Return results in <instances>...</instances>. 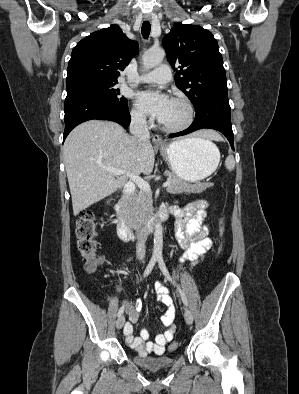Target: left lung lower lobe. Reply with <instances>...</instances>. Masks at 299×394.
Returning <instances> with one entry per match:
<instances>
[{
  "label": "left lung lower lobe",
  "mask_w": 299,
  "mask_h": 394,
  "mask_svg": "<svg viewBox=\"0 0 299 394\" xmlns=\"http://www.w3.org/2000/svg\"><path fill=\"white\" fill-rule=\"evenodd\" d=\"M230 110L227 95L209 97L195 108L196 117L191 126L184 131L170 134L169 138L186 135L203 128H210L223 133L234 150Z\"/></svg>",
  "instance_id": "left-lung-lower-lobe-1"
}]
</instances>
